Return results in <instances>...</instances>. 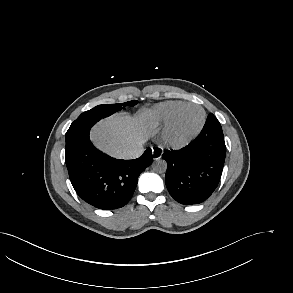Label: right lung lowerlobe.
<instances>
[{"label": "right lung lower lobe", "mask_w": 293, "mask_h": 293, "mask_svg": "<svg viewBox=\"0 0 293 293\" xmlns=\"http://www.w3.org/2000/svg\"><path fill=\"white\" fill-rule=\"evenodd\" d=\"M92 126L65 136L66 165L77 194L99 209L121 208L131 199L139 174L152 163L148 148L134 160H119L97 150L89 139Z\"/></svg>", "instance_id": "1"}]
</instances>
